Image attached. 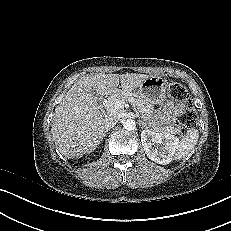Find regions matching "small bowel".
<instances>
[{"label":"small bowel","mask_w":231,"mask_h":231,"mask_svg":"<svg viewBox=\"0 0 231 231\" xmlns=\"http://www.w3.org/2000/svg\"><path fill=\"white\" fill-rule=\"evenodd\" d=\"M181 106L167 103L163 110V117L166 121L172 122L180 112Z\"/></svg>","instance_id":"1"}]
</instances>
